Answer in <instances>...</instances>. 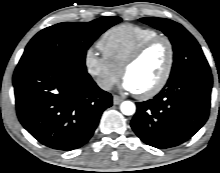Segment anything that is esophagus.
<instances>
[{"label": "esophagus", "instance_id": "34e87169", "mask_svg": "<svg viewBox=\"0 0 220 173\" xmlns=\"http://www.w3.org/2000/svg\"><path fill=\"white\" fill-rule=\"evenodd\" d=\"M122 101H123V99H122L121 97H119V96H117V95H114V96H113V104H114V105H118V104H120Z\"/></svg>", "mask_w": 220, "mask_h": 173}]
</instances>
